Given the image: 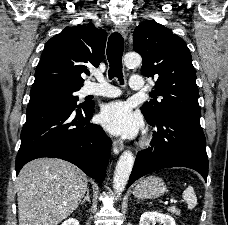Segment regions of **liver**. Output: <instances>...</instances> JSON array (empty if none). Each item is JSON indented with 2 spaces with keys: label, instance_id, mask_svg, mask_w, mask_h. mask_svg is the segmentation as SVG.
I'll return each instance as SVG.
<instances>
[{
  "label": "liver",
  "instance_id": "6515ba94",
  "mask_svg": "<svg viewBox=\"0 0 228 225\" xmlns=\"http://www.w3.org/2000/svg\"><path fill=\"white\" fill-rule=\"evenodd\" d=\"M87 177L61 159H35L17 177L19 225H58L76 211Z\"/></svg>",
  "mask_w": 228,
  "mask_h": 225
}]
</instances>
